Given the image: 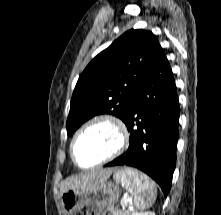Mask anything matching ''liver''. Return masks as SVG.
Segmentation results:
<instances>
[{
  "label": "liver",
  "mask_w": 221,
  "mask_h": 215,
  "mask_svg": "<svg viewBox=\"0 0 221 215\" xmlns=\"http://www.w3.org/2000/svg\"><path fill=\"white\" fill-rule=\"evenodd\" d=\"M112 172V169H103L71 177L62 183L61 191L64 192L67 189L80 190L88 188L98 182L107 180Z\"/></svg>",
  "instance_id": "6515ba94"
}]
</instances>
